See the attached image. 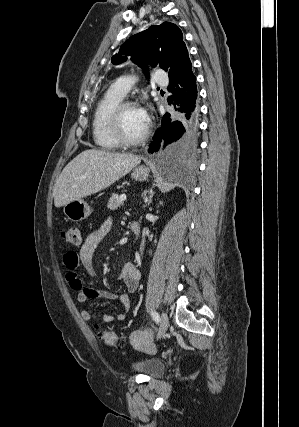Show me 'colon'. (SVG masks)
Here are the masks:
<instances>
[{
  "label": "colon",
  "mask_w": 299,
  "mask_h": 427,
  "mask_svg": "<svg viewBox=\"0 0 299 427\" xmlns=\"http://www.w3.org/2000/svg\"><path fill=\"white\" fill-rule=\"evenodd\" d=\"M62 236L65 241L69 244L79 246L82 243L81 231L79 226L70 225L62 231ZM98 337L105 344L114 348H121L123 345V339L116 333L110 330L100 329L98 330Z\"/></svg>",
  "instance_id": "colon-1"
}]
</instances>
